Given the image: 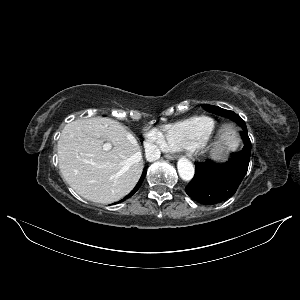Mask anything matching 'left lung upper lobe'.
Segmentation results:
<instances>
[{
  "label": "left lung upper lobe",
  "instance_id": "5c2ea615",
  "mask_svg": "<svg viewBox=\"0 0 300 300\" xmlns=\"http://www.w3.org/2000/svg\"><path fill=\"white\" fill-rule=\"evenodd\" d=\"M202 107L208 112L229 118L230 120L234 121L239 126H241L243 128V131H247L245 122L242 120V118L239 115L235 114L233 111L222 109L220 107L209 105V104H203Z\"/></svg>",
  "mask_w": 300,
  "mask_h": 300
}]
</instances>
